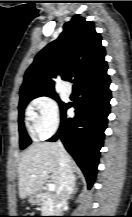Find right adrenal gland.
I'll list each match as a JSON object with an SVG mask.
<instances>
[{
	"instance_id": "2a0ac1e0",
	"label": "right adrenal gland",
	"mask_w": 132,
	"mask_h": 217,
	"mask_svg": "<svg viewBox=\"0 0 132 217\" xmlns=\"http://www.w3.org/2000/svg\"><path fill=\"white\" fill-rule=\"evenodd\" d=\"M76 191V188H75V179H74V182H73V185H72V191L71 193L75 192Z\"/></svg>"
}]
</instances>
